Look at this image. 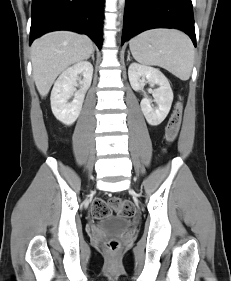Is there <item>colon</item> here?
Returning <instances> with one entry per match:
<instances>
[{"label": "colon", "instance_id": "1", "mask_svg": "<svg viewBox=\"0 0 231 281\" xmlns=\"http://www.w3.org/2000/svg\"><path fill=\"white\" fill-rule=\"evenodd\" d=\"M183 102L179 99L174 107L173 113L167 123L165 129V138L168 143L175 141L182 121ZM112 211H116L125 217H132L135 213V207L132 202L113 197L108 201L103 199H95L91 205V214L95 218H102L109 215ZM109 250L114 251L118 247L115 240L107 243Z\"/></svg>", "mask_w": 231, "mask_h": 281}]
</instances>
